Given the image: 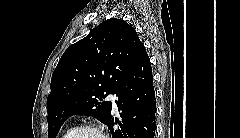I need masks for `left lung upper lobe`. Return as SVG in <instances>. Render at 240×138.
Returning a JSON list of instances; mask_svg holds the SVG:
<instances>
[{
    "label": "left lung upper lobe",
    "mask_w": 240,
    "mask_h": 138,
    "mask_svg": "<svg viewBox=\"0 0 240 138\" xmlns=\"http://www.w3.org/2000/svg\"><path fill=\"white\" fill-rule=\"evenodd\" d=\"M143 46L131 25L117 18L103 21L63 53L48 96V138H55L72 115H93L106 124L111 102Z\"/></svg>",
    "instance_id": "obj_1"
}]
</instances>
